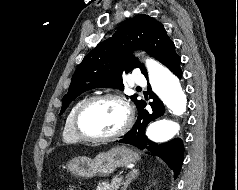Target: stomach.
<instances>
[{"label":"stomach","instance_id":"obj_1","mask_svg":"<svg viewBox=\"0 0 238 190\" xmlns=\"http://www.w3.org/2000/svg\"><path fill=\"white\" fill-rule=\"evenodd\" d=\"M140 160L138 153L127 147H114L107 152L99 153L94 159L76 157L68 163V170L81 178L89 179L96 175L108 176L117 168L124 167Z\"/></svg>","mask_w":238,"mask_h":190}]
</instances>
